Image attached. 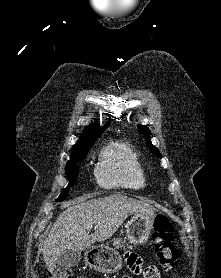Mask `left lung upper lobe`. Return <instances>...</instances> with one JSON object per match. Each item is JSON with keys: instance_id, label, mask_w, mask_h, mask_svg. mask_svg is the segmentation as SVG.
I'll return each mask as SVG.
<instances>
[{"instance_id": "left-lung-upper-lobe-1", "label": "left lung upper lobe", "mask_w": 221, "mask_h": 278, "mask_svg": "<svg viewBox=\"0 0 221 278\" xmlns=\"http://www.w3.org/2000/svg\"><path fill=\"white\" fill-rule=\"evenodd\" d=\"M139 130L147 137V145L149 149L156 155L160 156L159 150L150 142V130L146 126L138 125Z\"/></svg>"}]
</instances>
